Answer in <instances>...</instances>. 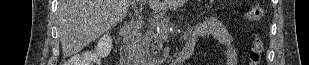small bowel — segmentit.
Masks as SVG:
<instances>
[{
  "label": "small bowel",
  "instance_id": "1",
  "mask_svg": "<svg viewBox=\"0 0 309 65\" xmlns=\"http://www.w3.org/2000/svg\"><path fill=\"white\" fill-rule=\"evenodd\" d=\"M205 36H212L224 45L227 49V65H236L237 52L233 39L228 30L214 17L206 19L191 30L184 48L194 49L197 39Z\"/></svg>",
  "mask_w": 309,
  "mask_h": 65
}]
</instances>
